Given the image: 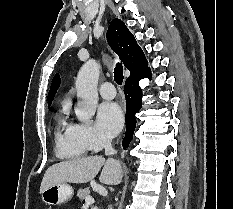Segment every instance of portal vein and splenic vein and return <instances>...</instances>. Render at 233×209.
<instances>
[{"instance_id": "portal-vein-and-splenic-vein-1", "label": "portal vein and splenic vein", "mask_w": 233, "mask_h": 209, "mask_svg": "<svg viewBox=\"0 0 233 209\" xmlns=\"http://www.w3.org/2000/svg\"><path fill=\"white\" fill-rule=\"evenodd\" d=\"M95 202L94 198L89 196L85 199V204L83 205V209H87L90 205H92Z\"/></svg>"}]
</instances>
